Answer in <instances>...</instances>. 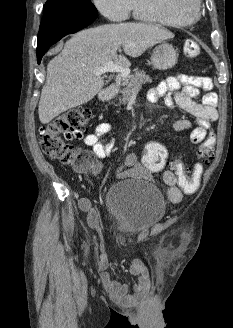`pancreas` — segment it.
I'll use <instances>...</instances> for the list:
<instances>
[{"label": "pancreas", "mask_w": 233, "mask_h": 328, "mask_svg": "<svg viewBox=\"0 0 233 328\" xmlns=\"http://www.w3.org/2000/svg\"><path fill=\"white\" fill-rule=\"evenodd\" d=\"M152 79L150 76L146 75L144 71H137L134 75L129 76L124 79L120 86L121 97H119L120 102L127 103L134 93H138L145 83H151Z\"/></svg>", "instance_id": "obj_1"}]
</instances>
